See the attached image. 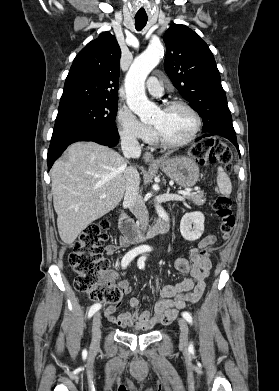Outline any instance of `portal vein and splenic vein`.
Instances as JSON below:
<instances>
[{
	"label": "portal vein and splenic vein",
	"mask_w": 279,
	"mask_h": 391,
	"mask_svg": "<svg viewBox=\"0 0 279 391\" xmlns=\"http://www.w3.org/2000/svg\"><path fill=\"white\" fill-rule=\"evenodd\" d=\"M178 194H181V195H190L191 194V192L190 191H178ZM102 197H105V195H103Z\"/></svg>",
	"instance_id": "obj_1"
}]
</instances>
